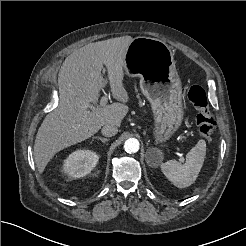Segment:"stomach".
<instances>
[{"label": "stomach", "mask_w": 246, "mask_h": 246, "mask_svg": "<svg viewBox=\"0 0 246 246\" xmlns=\"http://www.w3.org/2000/svg\"><path fill=\"white\" fill-rule=\"evenodd\" d=\"M174 54L165 42L136 37L125 54L124 69L129 77L140 78V88L151 104L156 142L167 141L183 120L182 85Z\"/></svg>", "instance_id": "stomach-1"}]
</instances>
